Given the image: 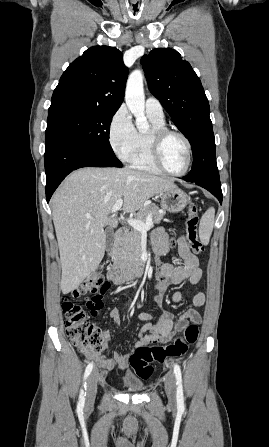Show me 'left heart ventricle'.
<instances>
[{"instance_id": "b2bd125f", "label": "left heart ventricle", "mask_w": 269, "mask_h": 447, "mask_svg": "<svg viewBox=\"0 0 269 447\" xmlns=\"http://www.w3.org/2000/svg\"><path fill=\"white\" fill-rule=\"evenodd\" d=\"M163 157L170 169L175 171L182 170L187 162L185 142L178 136H169L163 144Z\"/></svg>"}]
</instances>
